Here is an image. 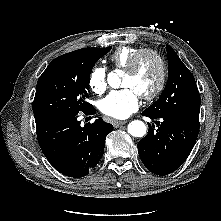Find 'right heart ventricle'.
Masks as SVG:
<instances>
[{"instance_id":"obj_1","label":"right heart ventricle","mask_w":221,"mask_h":221,"mask_svg":"<svg viewBox=\"0 0 221 221\" xmlns=\"http://www.w3.org/2000/svg\"><path fill=\"white\" fill-rule=\"evenodd\" d=\"M142 48L122 46L115 50L110 56L113 65L118 69H126L132 57Z\"/></svg>"}]
</instances>
